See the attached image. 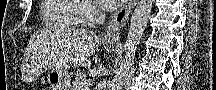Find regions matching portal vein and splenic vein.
I'll return each instance as SVG.
<instances>
[{"mask_svg": "<svg viewBox=\"0 0 216 90\" xmlns=\"http://www.w3.org/2000/svg\"><path fill=\"white\" fill-rule=\"evenodd\" d=\"M89 88V82H86V80H84L80 90H88Z\"/></svg>", "mask_w": 216, "mask_h": 90, "instance_id": "1", "label": "portal vein and splenic vein"}]
</instances>
